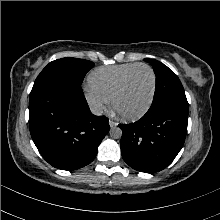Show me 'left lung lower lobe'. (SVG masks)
Wrapping results in <instances>:
<instances>
[{
    "label": "left lung lower lobe",
    "instance_id": "1",
    "mask_svg": "<svg viewBox=\"0 0 220 220\" xmlns=\"http://www.w3.org/2000/svg\"><path fill=\"white\" fill-rule=\"evenodd\" d=\"M187 124L188 113L172 107L148 110L135 123L119 124L124 161L133 169L145 173L163 170L181 150Z\"/></svg>",
    "mask_w": 220,
    "mask_h": 220
}]
</instances>
